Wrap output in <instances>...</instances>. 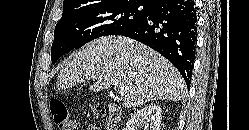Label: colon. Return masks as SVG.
Listing matches in <instances>:
<instances>
[{
  "label": "colon",
  "mask_w": 249,
  "mask_h": 130,
  "mask_svg": "<svg viewBox=\"0 0 249 130\" xmlns=\"http://www.w3.org/2000/svg\"><path fill=\"white\" fill-rule=\"evenodd\" d=\"M50 110L59 130H77V120L69 112L66 105L59 99H53L50 103Z\"/></svg>",
  "instance_id": "5ec220e1"
}]
</instances>
